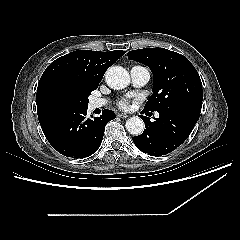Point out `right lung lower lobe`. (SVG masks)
Masks as SVG:
<instances>
[{
    "label": "right lung lower lobe",
    "instance_id": "1",
    "mask_svg": "<svg viewBox=\"0 0 240 240\" xmlns=\"http://www.w3.org/2000/svg\"><path fill=\"white\" fill-rule=\"evenodd\" d=\"M87 108H65L40 121L42 131L51 146L60 154L72 158L89 157L101 145L105 125L115 113L104 110L100 117L86 118Z\"/></svg>",
    "mask_w": 240,
    "mask_h": 240
}]
</instances>
